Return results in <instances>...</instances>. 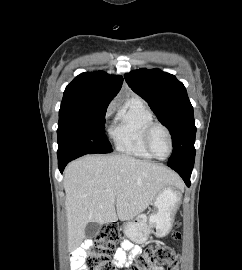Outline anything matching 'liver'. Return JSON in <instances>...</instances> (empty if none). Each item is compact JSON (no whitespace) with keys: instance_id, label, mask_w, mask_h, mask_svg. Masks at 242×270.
<instances>
[{"instance_id":"obj_1","label":"liver","mask_w":242,"mask_h":270,"mask_svg":"<svg viewBox=\"0 0 242 270\" xmlns=\"http://www.w3.org/2000/svg\"><path fill=\"white\" fill-rule=\"evenodd\" d=\"M68 244L78 246L87 223L131 220L152 204L164 187H182L166 167L127 155H87L64 173Z\"/></svg>"}]
</instances>
